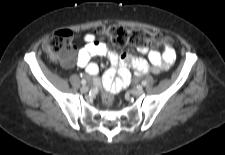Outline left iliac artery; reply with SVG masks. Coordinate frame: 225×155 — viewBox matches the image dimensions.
<instances>
[{
    "instance_id": "44dca946",
    "label": "left iliac artery",
    "mask_w": 225,
    "mask_h": 155,
    "mask_svg": "<svg viewBox=\"0 0 225 155\" xmlns=\"http://www.w3.org/2000/svg\"><path fill=\"white\" fill-rule=\"evenodd\" d=\"M146 84H147V83H146L145 81L142 82V86H146Z\"/></svg>"
}]
</instances>
